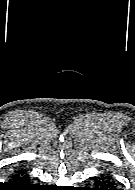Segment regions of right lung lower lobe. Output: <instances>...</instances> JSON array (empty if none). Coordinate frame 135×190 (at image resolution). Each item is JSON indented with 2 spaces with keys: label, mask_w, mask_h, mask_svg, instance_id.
<instances>
[{
  "label": "right lung lower lobe",
  "mask_w": 135,
  "mask_h": 190,
  "mask_svg": "<svg viewBox=\"0 0 135 190\" xmlns=\"http://www.w3.org/2000/svg\"><path fill=\"white\" fill-rule=\"evenodd\" d=\"M12 183H8L7 187L10 190H39V185L28 184V175L23 170H18L12 175Z\"/></svg>",
  "instance_id": "1"
}]
</instances>
